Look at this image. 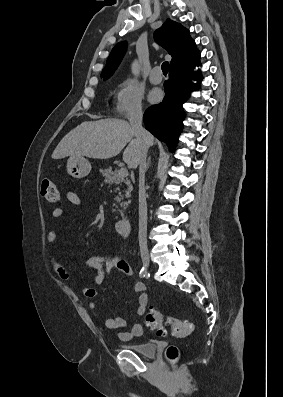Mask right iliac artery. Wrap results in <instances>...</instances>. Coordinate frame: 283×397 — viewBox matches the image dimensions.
I'll return each mask as SVG.
<instances>
[{"label": "right iliac artery", "mask_w": 283, "mask_h": 397, "mask_svg": "<svg viewBox=\"0 0 283 397\" xmlns=\"http://www.w3.org/2000/svg\"><path fill=\"white\" fill-rule=\"evenodd\" d=\"M147 275L146 270L144 269V267L141 268L140 272H139V276L141 278L145 277Z\"/></svg>", "instance_id": "1"}]
</instances>
